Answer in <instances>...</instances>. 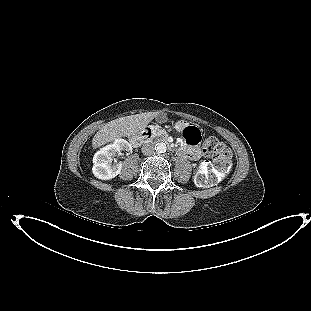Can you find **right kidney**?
Instances as JSON below:
<instances>
[{"instance_id":"right-kidney-1","label":"right kidney","mask_w":311,"mask_h":311,"mask_svg":"<svg viewBox=\"0 0 311 311\" xmlns=\"http://www.w3.org/2000/svg\"><path fill=\"white\" fill-rule=\"evenodd\" d=\"M132 151V146L124 139H115L112 144H109L98 152L93 157L92 172L94 176L101 180H110L120 174L122 169L121 163L112 164V158L121 151Z\"/></svg>"}]
</instances>
